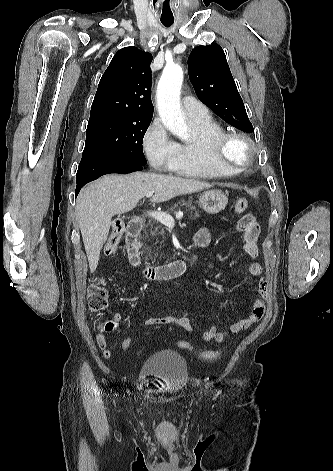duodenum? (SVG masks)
<instances>
[{
	"mask_svg": "<svg viewBox=\"0 0 333 471\" xmlns=\"http://www.w3.org/2000/svg\"><path fill=\"white\" fill-rule=\"evenodd\" d=\"M143 226L144 219L142 217H136L128 223L125 235L127 255L131 265L134 267H140L142 265L138 236ZM188 266L187 260L179 259L164 265L144 267L143 272L148 280L162 281L185 273Z\"/></svg>",
	"mask_w": 333,
	"mask_h": 471,
	"instance_id": "410a0bca",
	"label": "duodenum"
}]
</instances>
